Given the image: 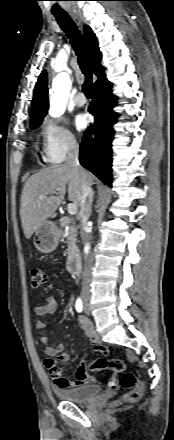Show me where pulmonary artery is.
Here are the masks:
<instances>
[{
    "mask_svg": "<svg viewBox=\"0 0 174 440\" xmlns=\"http://www.w3.org/2000/svg\"><path fill=\"white\" fill-rule=\"evenodd\" d=\"M74 103H75L77 106H83V105H85V103H86V99H85V97L83 96L82 93H78V94L74 97Z\"/></svg>",
    "mask_w": 174,
    "mask_h": 440,
    "instance_id": "e3ab8cb5",
    "label": "pulmonary artery"
}]
</instances>
